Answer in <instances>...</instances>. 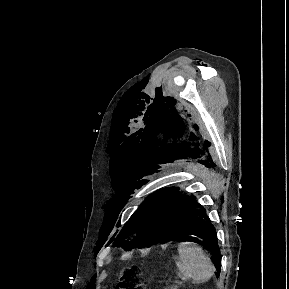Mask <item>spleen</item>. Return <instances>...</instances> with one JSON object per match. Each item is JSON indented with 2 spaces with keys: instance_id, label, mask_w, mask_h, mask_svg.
<instances>
[{
  "instance_id": "1",
  "label": "spleen",
  "mask_w": 289,
  "mask_h": 289,
  "mask_svg": "<svg viewBox=\"0 0 289 289\" xmlns=\"http://www.w3.org/2000/svg\"><path fill=\"white\" fill-rule=\"evenodd\" d=\"M178 254L175 264L179 276L191 279L194 284L205 283L213 276L215 267L199 246L182 242Z\"/></svg>"
}]
</instances>
